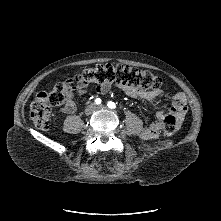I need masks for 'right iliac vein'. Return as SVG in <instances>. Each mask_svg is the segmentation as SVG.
<instances>
[{"instance_id": "right-iliac-vein-1", "label": "right iliac vein", "mask_w": 221, "mask_h": 221, "mask_svg": "<svg viewBox=\"0 0 221 221\" xmlns=\"http://www.w3.org/2000/svg\"><path fill=\"white\" fill-rule=\"evenodd\" d=\"M95 110V108H94V106H90L89 108H87L86 110H85V114L86 115H90V114H92V112Z\"/></svg>"}]
</instances>
